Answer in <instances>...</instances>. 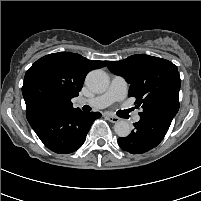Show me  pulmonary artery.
Returning <instances> with one entry per match:
<instances>
[{"instance_id": "obj_1", "label": "pulmonary artery", "mask_w": 201, "mask_h": 201, "mask_svg": "<svg viewBox=\"0 0 201 201\" xmlns=\"http://www.w3.org/2000/svg\"><path fill=\"white\" fill-rule=\"evenodd\" d=\"M127 95V82L120 76H114L108 89L101 95L89 100L87 103L94 108H105L116 101L123 100ZM140 115L133 117L134 122H139Z\"/></svg>"}]
</instances>
